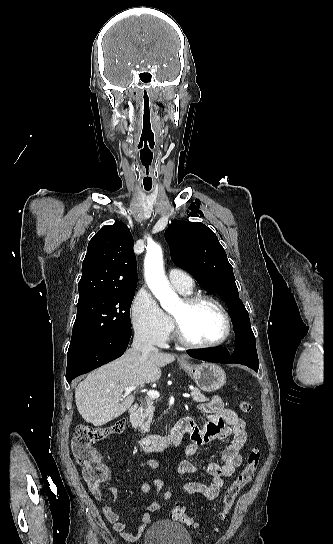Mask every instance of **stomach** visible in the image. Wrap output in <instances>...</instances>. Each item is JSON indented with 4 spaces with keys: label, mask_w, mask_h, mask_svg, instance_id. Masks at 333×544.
Segmentation results:
<instances>
[{
    "label": "stomach",
    "mask_w": 333,
    "mask_h": 544,
    "mask_svg": "<svg viewBox=\"0 0 333 544\" xmlns=\"http://www.w3.org/2000/svg\"><path fill=\"white\" fill-rule=\"evenodd\" d=\"M181 368L205 392H215L226 383L225 371L217 364L201 363L198 365H188L181 363Z\"/></svg>",
    "instance_id": "0dacf381"
}]
</instances>
